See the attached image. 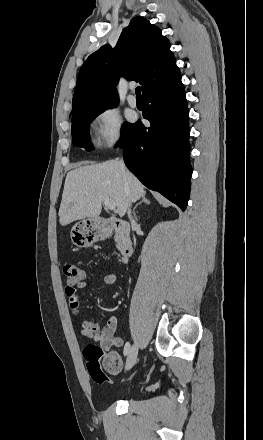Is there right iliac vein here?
Returning a JSON list of instances; mask_svg holds the SVG:
<instances>
[{"mask_svg": "<svg viewBox=\"0 0 263 440\" xmlns=\"http://www.w3.org/2000/svg\"><path fill=\"white\" fill-rule=\"evenodd\" d=\"M138 356V346L134 344L129 351L127 360H126V370H130L135 364Z\"/></svg>", "mask_w": 263, "mask_h": 440, "instance_id": "obj_1", "label": "right iliac vein"}]
</instances>
